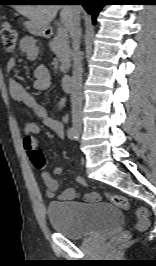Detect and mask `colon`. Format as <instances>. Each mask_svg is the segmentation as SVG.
Wrapping results in <instances>:
<instances>
[{"instance_id":"1","label":"colon","mask_w":156,"mask_h":266,"mask_svg":"<svg viewBox=\"0 0 156 266\" xmlns=\"http://www.w3.org/2000/svg\"><path fill=\"white\" fill-rule=\"evenodd\" d=\"M1 39H2L3 46L7 51H13L15 49L16 42H17V32L10 23L3 24L2 29H1ZM29 158L35 168L44 169L46 167L45 158L40 150L36 149V150L31 151L29 153ZM54 173L62 174L63 171L61 168H55ZM75 180L79 184L83 186H87L86 182L82 178L76 177ZM105 196L108 198V200L113 205H115L118 208H121L123 210H128L130 207L128 199L124 196L117 195V194H108V193H106ZM148 226H149L148 211L144 207H139L136 210L135 227L137 230L143 231V230H146ZM129 237H130L129 232H123L122 234H120L113 240V244L125 241Z\"/></svg>"}]
</instances>
